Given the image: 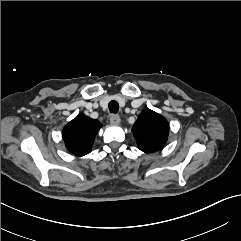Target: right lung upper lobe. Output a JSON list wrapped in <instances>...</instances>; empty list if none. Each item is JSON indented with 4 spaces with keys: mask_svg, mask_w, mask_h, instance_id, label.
Wrapping results in <instances>:
<instances>
[{
    "mask_svg": "<svg viewBox=\"0 0 241 241\" xmlns=\"http://www.w3.org/2000/svg\"><path fill=\"white\" fill-rule=\"evenodd\" d=\"M101 126L98 120L79 114L63 129L62 135L66 148L77 156L90 153L95 136Z\"/></svg>",
    "mask_w": 241,
    "mask_h": 241,
    "instance_id": "1",
    "label": "right lung upper lobe"
}]
</instances>
